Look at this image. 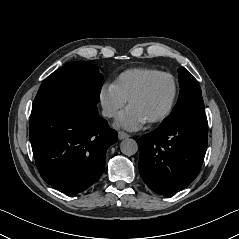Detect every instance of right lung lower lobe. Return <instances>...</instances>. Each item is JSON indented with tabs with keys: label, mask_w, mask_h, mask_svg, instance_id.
<instances>
[{
	"label": "right lung lower lobe",
	"mask_w": 239,
	"mask_h": 239,
	"mask_svg": "<svg viewBox=\"0 0 239 239\" xmlns=\"http://www.w3.org/2000/svg\"><path fill=\"white\" fill-rule=\"evenodd\" d=\"M97 103L78 96L56 99L30 118V141L38 171L53 188L76 194L103 173L106 151L117 133L99 116Z\"/></svg>",
	"instance_id": "98d812e1"
}]
</instances>
